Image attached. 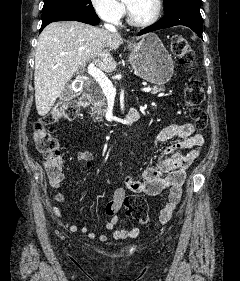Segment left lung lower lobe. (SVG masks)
Instances as JSON below:
<instances>
[{"label": "left lung lower lobe", "mask_w": 240, "mask_h": 281, "mask_svg": "<svg viewBox=\"0 0 240 281\" xmlns=\"http://www.w3.org/2000/svg\"><path fill=\"white\" fill-rule=\"evenodd\" d=\"M200 5L196 2H182L177 4L165 16L155 24L141 30L137 35H142L158 29L183 25L191 28L202 38V16L200 14Z\"/></svg>", "instance_id": "1"}]
</instances>
